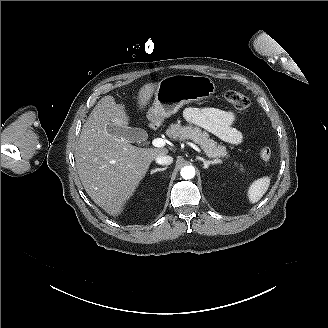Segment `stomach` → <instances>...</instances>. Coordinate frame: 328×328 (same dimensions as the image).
<instances>
[{"label":"stomach","mask_w":328,"mask_h":328,"mask_svg":"<svg viewBox=\"0 0 328 328\" xmlns=\"http://www.w3.org/2000/svg\"><path fill=\"white\" fill-rule=\"evenodd\" d=\"M216 85L208 76L178 74L158 83L155 101L148 111L152 127L157 128L164 118L175 114L184 105L210 98Z\"/></svg>","instance_id":"0dacf381"}]
</instances>
